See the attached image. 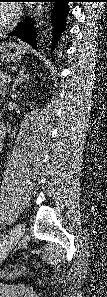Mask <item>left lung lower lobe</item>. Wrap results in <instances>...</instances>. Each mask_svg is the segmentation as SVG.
<instances>
[{
	"label": "left lung lower lobe",
	"instance_id": "0a47b994",
	"mask_svg": "<svg viewBox=\"0 0 107 297\" xmlns=\"http://www.w3.org/2000/svg\"><path fill=\"white\" fill-rule=\"evenodd\" d=\"M35 2H55L53 7L52 14V22H53V38H52V46L51 51L55 49L57 42L60 38L61 33L65 30V21L68 16L69 8L68 2L71 0H34ZM9 36H16L22 41L30 44L34 48H36V32L34 30L33 25L31 24V20L27 17L23 22H21L17 28L8 34Z\"/></svg>",
	"mask_w": 107,
	"mask_h": 297
}]
</instances>
